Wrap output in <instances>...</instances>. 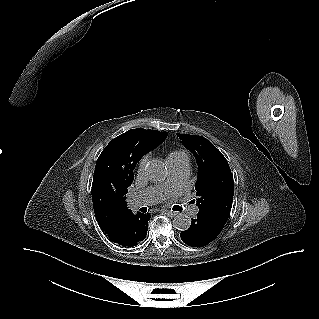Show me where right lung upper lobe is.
<instances>
[{"mask_svg": "<svg viewBox=\"0 0 319 319\" xmlns=\"http://www.w3.org/2000/svg\"><path fill=\"white\" fill-rule=\"evenodd\" d=\"M167 137V132L146 129H132L111 140L126 146L140 160L147 152L157 147ZM129 209L125 202L120 204L94 209L96 220L105 233H109L112 224L121 218Z\"/></svg>", "mask_w": 319, "mask_h": 319, "instance_id": "cb5924a9", "label": "right lung upper lobe"}]
</instances>
